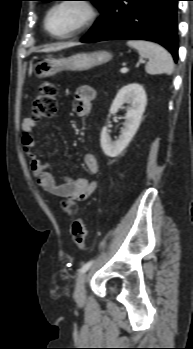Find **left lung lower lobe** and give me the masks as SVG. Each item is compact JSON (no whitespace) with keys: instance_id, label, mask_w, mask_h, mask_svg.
Segmentation results:
<instances>
[{"instance_id":"obj_1","label":"left lung lower lobe","mask_w":193,"mask_h":349,"mask_svg":"<svg viewBox=\"0 0 193 349\" xmlns=\"http://www.w3.org/2000/svg\"><path fill=\"white\" fill-rule=\"evenodd\" d=\"M179 0H107L100 19L81 39L92 43L115 39H142L167 48L178 60L176 30Z\"/></svg>"}]
</instances>
